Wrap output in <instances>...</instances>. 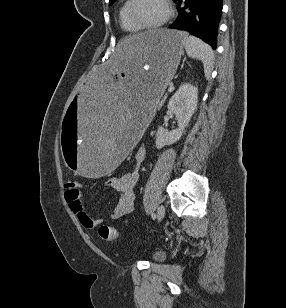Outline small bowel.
<instances>
[{"mask_svg":"<svg viewBox=\"0 0 286 308\" xmlns=\"http://www.w3.org/2000/svg\"><path fill=\"white\" fill-rule=\"evenodd\" d=\"M146 158V148L139 147L134 154L135 166L133 170L126 172L118 177H112L107 181V185L120 192L119 200L111 212L109 218L119 219L129 214L134 206V187L139 177L140 165ZM64 198L70 209L76 215L82 227L92 230L99 226L103 220L92 218L84 208L81 200L80 190H65Z\"/></svg>","mask_w":286,"mask_h":308,"instance_id":"1","label":"small bowel"}]
</instances>
